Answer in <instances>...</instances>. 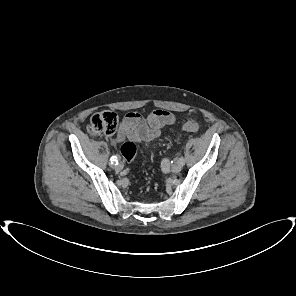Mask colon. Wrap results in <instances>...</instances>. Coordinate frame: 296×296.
<instances>
[{
  "mask_svg": "<svg viewBox=\"0 0 296 296\" xmlns=\"http://www.w3.org/2000/svg\"><path fill=\"white\" fill-rule=\"evenodd\" d=\"M118 126V117L114 112L95 113L88 124L87 130L92 136L111 135ZM181 128L187 132H197L200 125L197 121L190 120L182 124ZM137 154V146L133 141L125 142L121 147V155L128 162H132Z\"/></svg>",
  "mask_w": 296,
  "mask_h": 296,
  "instance_id": "1",
  "label": "colon"
}]
</instances>
